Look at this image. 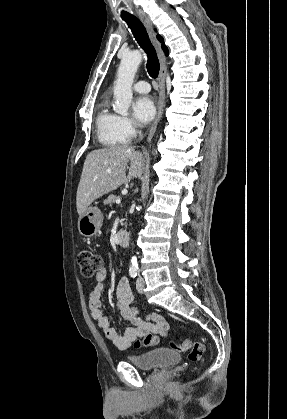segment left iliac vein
I'll return each instance as SVG.
<instances>
[{"instance_id": "1", "label": "left iliac vein", "mask_w": 287, "mask_h": 419, "mask_svg": "<svg viewBox=\"0 0 287 419\" xmlns=\"http://www.w3.org/2000/svg\"><path fill=\"white\" fill-rule=\"evenodd\" d=\"M136 288H137V291L140 294H143V291H144V280L142 278H138L137 279Z\"/></svg>"}]
</instances>
